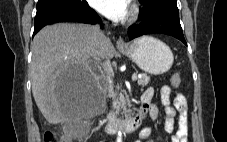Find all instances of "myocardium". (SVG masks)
<instances>
[{"label": "myocardium", "instance_id": "f54148a6", "mask_svg": "<svg viewBox=\"0 0 227 142\" xmlns=\"http://www.w3.org/2000/svg\"><path fill=\"white\" fill-rule=\"evenodd\" d=\"M139 8L137 5H134L131 11V21L135 20L138 16Z\"/></svg>", "mask_w": 227, "mask_h": 142}]
</instances>
